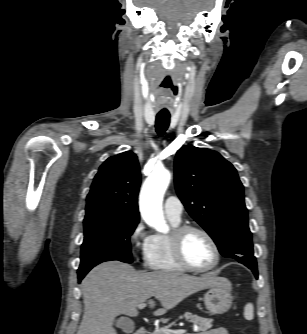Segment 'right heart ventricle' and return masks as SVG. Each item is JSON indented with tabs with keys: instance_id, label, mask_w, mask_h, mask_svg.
<instances>
[{
	"instance_id": "e07e8e85",
	"label": "right heart ventricle",
	"mask_w": 307,
	"mask_h": 334,
	"mask_svg": "<svg viewBox=\"0 0 307 334\" xmlns=\"http://www.w3.org/2000/svg\"><path fill=\"white\" fill-rule=\"evenodd\" d=\"M176 227L179 223L170 221ZM146 266L155 271L182 272L184 269L176 262L168 235L156 234L152 236L145 255Z\"/></svg>"
}]
</instances>
